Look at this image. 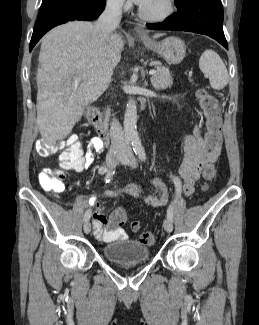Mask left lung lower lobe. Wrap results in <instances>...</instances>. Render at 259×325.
I'll return each mask as SVG.
<instances>
[{
    "label": "left lung lower lobe",
    "mask_w": 259,
    "mask_h": 325,
    "mask_svg": "<svg viewBox=\"0 0 259 325\" xmlns=\"http://www.w3.org/2000/svg\"><path fill=\"white\" fill-rule=\"evenodd\" d=\"M177 12L162 23L147 24L154 30L196 32L210 36L228 49L223 32L221 0H181L176 2Z\"/></svg>",
    "instance_id": "0a47b994"
}]
</instances>
